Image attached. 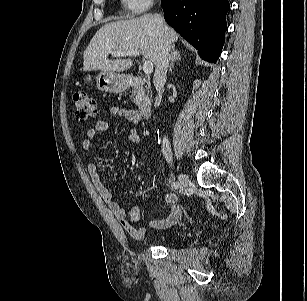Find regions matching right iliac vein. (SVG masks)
I'll return each instance as SVG.
<instances>
[{
	"instance_id": "63e3f726",
	"label": "right iliac vein",
	"mask_w": 307,
	"mask_h": 301,
	"mask_svg": "<svg viewBox=\"0 0 307 301\" xmlns=\"http://www.w3.org/2000/svg\"><path fill=\"white\" fill-rule=\"evenodd\" d=\"M170 163L172 165V161L171 160H170ZM178 179H179V182L181 184V189H182L183 193L186 194L187 193V189H188V185H189V182H190L189 177L187 175H185V174L180 173L178 175Z\"/></svg>"
}]
</instances>
